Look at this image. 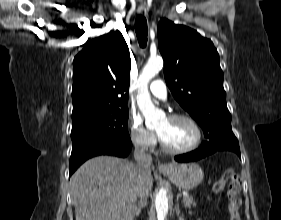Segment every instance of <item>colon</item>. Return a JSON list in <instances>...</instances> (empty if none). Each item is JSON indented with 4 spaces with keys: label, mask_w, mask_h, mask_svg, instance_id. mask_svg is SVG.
<instances>
[{
    "label": "colon",
    "mask_w": 281,
    "mask_h": 220,
    "mask_svg": "<svg viewBox=\"0 0 281 220\" xmlns=\"http://www.w3.org/2000/svg\"><path fill=\"white\" fill-rule=\"evenodd\" d=\"M226 184H228L227 197L230 220H241L239 213L242 204L240 176L232 168H227L223 172L220 179L214 183L213 191L215 193L220 192Z\"/></svg>",
    "instance_id": "obj_1"
}]
</instances>
